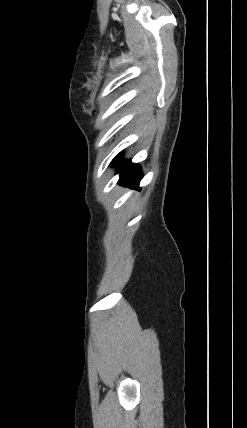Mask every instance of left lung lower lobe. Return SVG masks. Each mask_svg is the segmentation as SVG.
Returning <instances> with one entry per match:
<instances>
[{
  "label": "left lung lower lobe",
  "mask_w": 247,
  "mask_h": 428,
  "mask_svg": "<svg viewBox=\"0 0 247 428\" xmlns=\"http://www.w3.org/2000/svg\"><path fill=\"white\" fill-rule=\"evenodd\" d=\"M120 158L121 153L112 161V163L118 168L117 172H120L119 182L131 188H138L139 182L142 178L140 167L137 164H131L130 161L120 164Z\"/></svg>",
  "instance_id": "obj_1"
}]
</instances>
